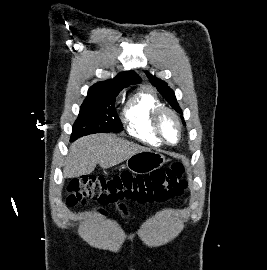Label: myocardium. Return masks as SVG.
Returning a JSON list of instances; mask_svg holds the SVG:
<instances>
[{"label": "myocardium", "mask_w": 267, "mask_h": 270, "mask_svg": "<svg viewBox=\"0 0 267 270\" xmlns=\"http://www.w3.org/2000/svg\"><path fill=\"white\" fill-rule=\"evenodd\" d=\"M164 114H169L172 116V118L174 119L176 125H177V128H178V138L176 140V142H170L168 141L163 132H162V129H161V118ZM151 124H152V129L155 133V135L158 137V139L166 144V145H176L181 137H182V124H181V121H180V118L179 116L177 115V113L171 109L170 107H167V106H160L158 108H156L152 114V119H151Z\"/></svg>", "instance_id": "1"}]
</instances>
